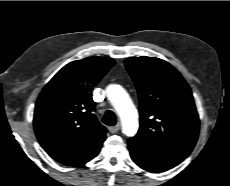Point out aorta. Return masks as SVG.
Segmentation results:
<instances>
[{
    "instance_id": "obj_1",
    "label": "aorta",
    "mask_w": 230,
    "mask_h": 186,
    "mask_svg": "<svg viewBox=\"0 0 230 186\" xmlns=\"http://www.w3.org/2000/svg\"><path fill=\"white\" fill-rule=\"evenodd\" d=\"M106 92L121 119L122 132L127 136L135 135L139 126L138 115L128 93L116 84L109 85Z\"/></svg>"
}]
</instances>
